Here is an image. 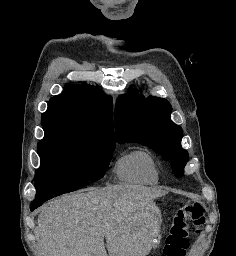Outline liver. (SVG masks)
<instances>
[{
  "label": "liver",
  "mask_w": 236,
  "mask_h": 256,
  "mask_svg": "<svg viewBox=\"0 0 236 256\" xmlns=\"http://www.w3.org/2000/svg\"><path fill=\"white\" fill-rule=\"evenodd\" d=\"M153 198V188L118 184L48 202L38 214L41 256H146L144 210Z\"/></svg>",
  "instance_id": "obj_1"
}]
</instances>
